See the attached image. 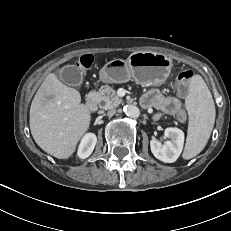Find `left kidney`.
<instances>
[{"label": "left kidney", "instance_id": "obj_1", "mask_svg": "<svg viewBox=\"0 0 231 231\" xmlns=\"http://www.w3.org/2000/svg\"><path fill=\"white\" fill-rule=\"evenodd\" d=\"M165 138L170 140L164 144L152 139L150 148L153 155L160 161L165 163H173L180 156L184 145V132L175 127L166 128L164 131Z\"/></svg>", "mask_w": 231, "mask_h": 231}]
</instances>
